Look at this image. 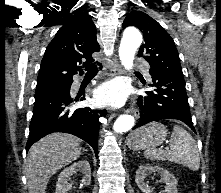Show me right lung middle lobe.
<instances>
[{
    "label": "right lung middle lobe",
    "instance_id": "obj_1",
    "mask_svg": "<svg viewBox=\"0 0 221 193\" xmlns=\"http://www.w3.org/2000/svg\"><path fill=\"white\" fill-rule=\"evenodd\" d=\"M57 85L61 86V85H65V84L64 83H60V84H55V85H50V86L37 87L35 94H39V93H41L43 91H46V90H48V89H50V88H52L54 86H57Z\"/></svg>",
    "mask_w": 221,
    "mask_h": 193
}]
</instances>
